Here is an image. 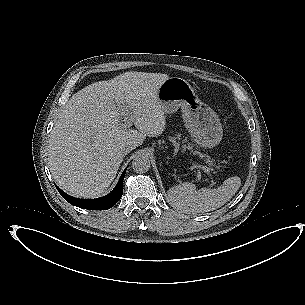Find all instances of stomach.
I'll return each instance as SVG.
<instances>
[{"label":"stomach","instance_id":"obj_1","mask_svg":"<svg viewBox=\"0 0 305 305\" xmlns=\"http://www.w3.org/2000/svg\"><path fill=\"white\" fill-rule=\"evenodd\" d=\"M157 99L165 113L181 110L184 125L199 146L213 147L220 142L222 127L218 117L185 79L167 78L158 88Z\"/></svg>","mask_w":305,"mask_h":305}]
</instances>
